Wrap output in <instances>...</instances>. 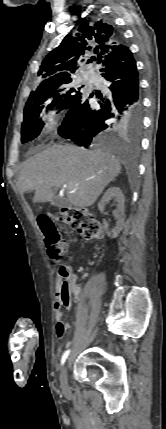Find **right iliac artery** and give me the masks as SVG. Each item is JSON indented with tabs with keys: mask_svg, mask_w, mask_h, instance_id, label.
Wrapping results in <instances>:
<instances>
[{
	"mask_svg": "<svg viewBox=\"0 0 166 429\" xmlns=\"http://www.w3.org/2000/svg\"><path fill=\"white\" fill-rule=\"evenodd\" d=\"M69 353H70V350H67V351H65V352H64V354H63V356H62V359H61V364H62V365L64 364V362H65V361H66V359L68 358Z\"/></svg>",
	"mask_w": 166,
	"mask_h": 429,
	"instance_id": "82829eb1",
	"label": "right iliac artery"
}]
</instances>
